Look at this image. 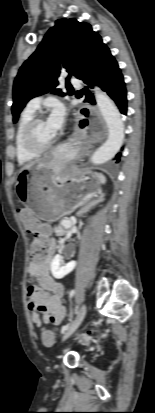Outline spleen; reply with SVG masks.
Returning a JSON list of instances; mask_svg holds the SVG:
<instances>
[{
    "label": "spleen",
    "mask_w": 155,
    "mask_h": 413,
    "mask_svg": "<svg viewBox=\"0 0 155 413\" xmlns=\"http://www.w3.org/2000/svg\"><path fill=\"white\" fill-rule=\"evenodd\" d=\"M97 176L99 178L100 183L105 184V182H106L105 176L103 174H100V173L97 174Z\"/></svg>",
    "instance_id": "1"
}]
</instances>
